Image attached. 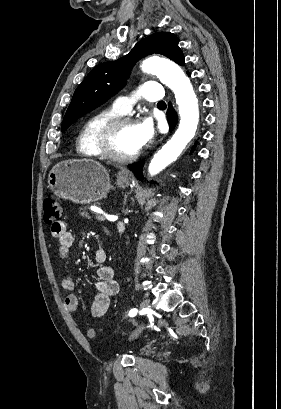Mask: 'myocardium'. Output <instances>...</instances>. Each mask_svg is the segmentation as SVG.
Segmentation results:
<instances>
[{
  "label": "myocardium",
  "instance_id": "obj_1",
  "mask_svg": "<svg viewBox=\"0 0 281 409\" xmlns=\"http://www.w3.org/2000/svg\"><path fill=\"white\" fill-rule=\"evenodd\" d=\"M121 126H136V122L129 117L117 116L105 122L98 134V147L103 156L116 162H129L138 158L142 153V148L134 153L121 155L113 151L111 147V137Z\"/></svg>",
  "mask_w": 281,
  "mask_h": 409
}]
</instances>
